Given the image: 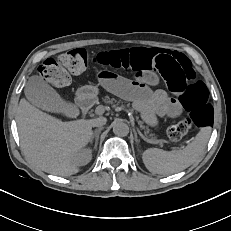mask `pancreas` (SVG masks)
<instances>
[{
  "mask_svg": "<svg viewBox=\"0 0 231 231\" xmlns=\"http://www.w3.org/2000/svg\"><path fill=\"white\" fill-rule=\"evenodd\" d=\"M103 102L105 104L111 105L112 107H116V106L120 105L121 103H123L121 100L117 101L115 98H110L109 96H105L103 98ZM126 107H130V104H127ZM129 110L133 111V109H131V108ZM138 125H139L140 129L144 131L145 135H149L151 137V140L157 141L156 138L153 137V135L151 134V130L149 129V127L144 124V121L139 120Z\"/></svg>",
  "mask_w": 231,
  "mask_h": 231,
  "instance_id": "pancreas-1",
  "label": "pancreas"
}]
</instances>
